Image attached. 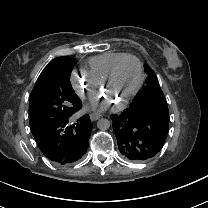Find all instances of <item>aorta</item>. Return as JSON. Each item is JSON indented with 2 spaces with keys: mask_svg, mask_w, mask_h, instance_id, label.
Listing matches in <instances>:
<instances>
[{
  "mask_svg": "<svg viewBox=\"0 0 208 208\" xmlns=\"http://www.w3.org/2000/svg\"><path fill=\"white\" fill-rule=\"evenodd\" d=\"M97 127L100 130H107L110 127V121L108 119L102 118V119L98 120Z\"/></svg>",
  "mask_w": 208,
  "mask_h": 208,
  "instance_id": "1",
  "label": "aorta"
}]
</instances>
